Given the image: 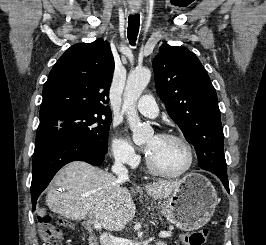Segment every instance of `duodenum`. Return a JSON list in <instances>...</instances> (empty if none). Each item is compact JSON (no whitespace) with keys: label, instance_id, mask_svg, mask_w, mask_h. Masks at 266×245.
Masks as SVG:
<instances>
[{"label":"duodenum","instance_id":"410a0bca","mask_svg":"<svg viewBox=\"0 0 266 245\" xmlns=\"http://www.w3.org/2000/svg\"><path fill=\"white\" fill-rule=\"evenodd\" d=\"M89 245H98V243L95 240H91Z\"/></svg>","mask_w":266,"mask_h":245}]
</instances>
